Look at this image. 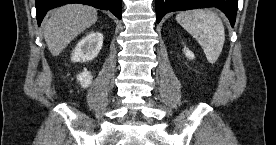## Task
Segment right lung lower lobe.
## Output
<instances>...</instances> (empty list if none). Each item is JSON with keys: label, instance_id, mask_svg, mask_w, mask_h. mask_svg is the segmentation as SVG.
<instances>
[{"label": "right lung lower lobe", "instance_id": "98d812e1", "mask_svg": "<svg viewBox=\"0 0 276 145\" xmlns=\"http://www.w3.org/2000/svg\"><path fill=\"white\" fill-rule=\"evenodd\" d=\"M35 3L38 25L42 22L47 11L69 3H81L102 10H110L118 19H121L122 14L121 0H35Z\"/></svg>", "mask_w": 276, "mask_h": 145}]
</instances>
